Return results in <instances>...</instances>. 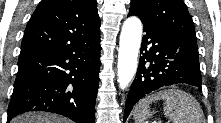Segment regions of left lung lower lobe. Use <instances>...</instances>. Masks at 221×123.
<instances>
[{
	"label": "left lung lower lobe",
	"mask_w": 221,
	"mask_h": 123,
	"mask_svg": "<svg viewBox=\"0 0 221 123\" xmlns=\"http://www.w3.org/2000/svg\"><path fill=\"white\" fill-rule=\"evenodd\" d=\"M130 15L138 16L144 25L141 52L145 53L127 96L124 121L136 102L156 89L185 83L201 90L202 84L196 42L143 20L133 10Z\"/></svg>",
	"instance_id": "1"
}]
</instances>
